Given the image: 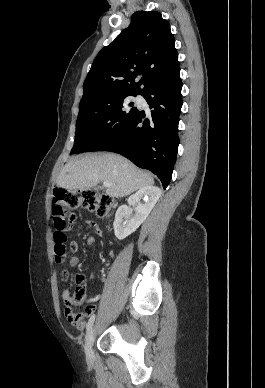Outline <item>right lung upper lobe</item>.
<instances>
[{
    "label": "right lung upper lobe",
    "mask_w": 265,
    "mask_h": 388,
    "mask_svg": "<svg viewBox=\"0 0 265 388\" xmlns=\"http://www.w3.org/2000/svg\"><path fill=\"white\" fill-rule=\"evenodd\" d=\"M174 43L170 26L159 12H135L130 26L95 58L83 98L104 90L141 94L150 85L178 75Z\"/></svg>",
    "instance_id": "1"
}]
</instances>
